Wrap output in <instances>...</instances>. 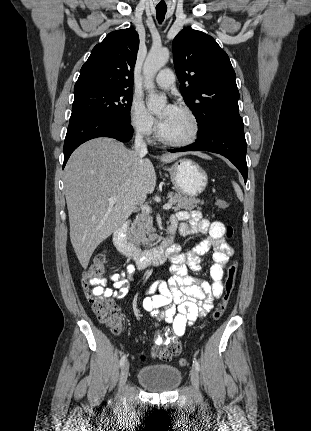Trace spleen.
Returning a JSON list of instances; mask_svg holds the SVG:
<instances>
[{
    "label": "spleen",
    "instance_id": "spleen-1",
    "mask_svg": "<svg viewBox=\"0 0 311 431\" xmlns=\"http://www.w3.org/2000/svg\"><path fill=\"white\" fill-rule=\"evenodd\" d=\"M232 186L235 190V194H236L238 200H240V202H243V200H244L243 192H242L240 186H238V184H236V182H232Z\"/></svg>",
    "mask_w": 311,
    "mask_h": 431
}]
</instances>
